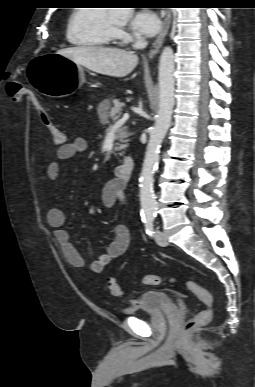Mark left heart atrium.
Instances as JSON below:
<instances>
[{
    "instance_id": "1",
    "label": "left heart atrium",
    "mask_w": 255,
    "mask_h": 387,
    "mask_svg": "<svg viewBox=\"0 0 255 387\" xmlns=\"http://www.w3.org/2000/svg\"><path fill=\"white\" fill-rule=\"evenodd\" d=\"M132 29L143 36L152 37L161 29V20L156 13L148 10L137 12L131 20Z\"/></svg>"
}]
</instances>
